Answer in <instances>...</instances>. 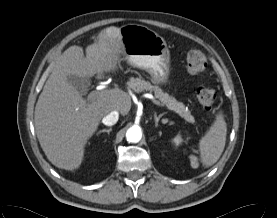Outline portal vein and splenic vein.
<instances>
[{"label":"portal vein and splenic vein","instance_id":"obj_1","mask_svg":"<svg viewBox=\"0 0 277 218\" xmlns=\"http://www.w3.org/2000/svg\"><path fill=\"white\" fill-rule=\"evenodd\" d=\"M98 94H99V91H98V92L93 91V92H91V93L89 94L88 99H89V100H94V99L97 98ZM148 98H150V99L153 101L154 104H156V105H158V106H160V107L163 106V105H162L158 100H156L152 95H149Z\"/></svg>","mask_w":277,"mask_h":218}]
</instances>
